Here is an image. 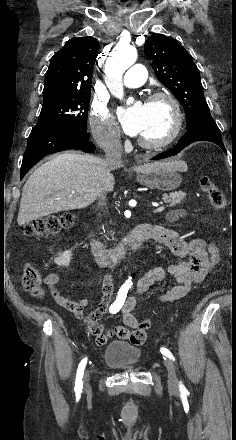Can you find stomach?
I'll list each match as a JSON object with an SVG mask.
<instances>
[{
  "mask_svg": "<svg viewBox=\"0 0 236 440\" xmlns=\"http://www.w3.org/2000/svg\"><path fill=\"white\" fill-rule=\"evenodd\" d=\"M186 169V164L181 162L179 167H162L148 173H142L137 176V181L150 189L170 191L179 187L182 181L180 172Z\"/></svg>",
  "mask_w": 236,
  "mask_h": 440,
  "instance_id": "obj_1",
  "label": "stomach"
}]
</instances>
